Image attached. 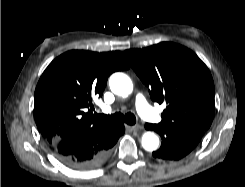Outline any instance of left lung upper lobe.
<instances>
[{
    "mask_svg": "<svg viewBox=\"0 0 245 187\" xmlns=\"http://www.w3.org/2000/svg\"><path fill=\"white\" fill-rule=\"evenodd\" d=\"M151 99L166 103L161 124L171 129H209L214 117V83L207 66L188 48L162 42L124 51Z\"/></svg>",
    "mask_w": 245,
    "mask_h": 187,
    "instance_id": "obj_1",
    "label": "left lung upper lobe"
}]
</instances>
